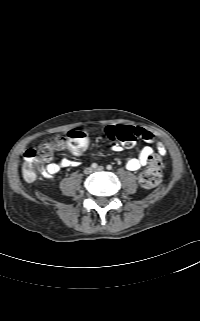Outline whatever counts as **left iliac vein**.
I'll use <instances>...</instances> for the list:
<instances>
[{
    "label": "left iliac vein",
    "instance_id": "1",
    "mask_svg": "<svg viewBox=\"0 0 200 321\" xmlns=\"http://www.w3.org/2000/svg\"><path fill=\"white\" fill-rule=\"evenodd\" d=\"M104 170V168L102 167V166H99V167H97L96 169H95V171H103Z\"/></svg>",
    "mask_w": 200,
    "mask_h": 321
}]
</instances>
